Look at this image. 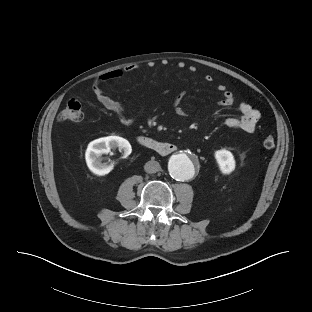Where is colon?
I'll use <instances>...</instances> for the list:
<instances>
[{
    "label": "colon",
    "mask_w": 312,
    "mask_h": 312,
    "mask_svg": "<svg viewBox=\"0 0 312 312\" xmlns=\"http://www.w3.org/2000/svg\"><path fill=\"white\" fill-rule=\"evenodd\" d=\"M83 118L82 105L78 99L72 98L67 101L65 107L60 111L58 120L60 122H79ZM263 146L272 149L275 146V139L272 135H267L263 139Z\"/></svg>",
    "instance_id": "obj_1"
}]
</instances>
